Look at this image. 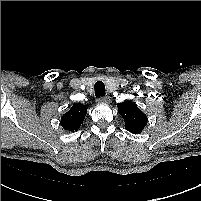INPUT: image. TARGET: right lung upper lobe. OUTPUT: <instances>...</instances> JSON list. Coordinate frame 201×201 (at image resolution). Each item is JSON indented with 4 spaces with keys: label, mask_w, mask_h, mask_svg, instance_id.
I'll list each match as a JSON object with an SVG mask.
<instances>
[{
    "label": "right lung upper lobe",
    "mask_w": 201,
    "mask_h": 201,
    "mask_svg": "<svg viewBox=\"0 0 201 201\" xmlns=\"http://www.w3.org/2000/svg\"><path fill=\"white\" fill-rule=\"evenodd\" d=\"M87 107L74 104L71 109L61 117V126L68 131H77L84 121Z\"/></svg>",
    "instance_id": "right-lung-upper-lobe-1"
}]
</instances>
